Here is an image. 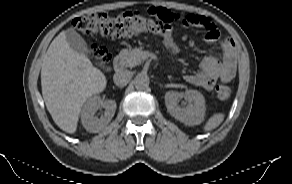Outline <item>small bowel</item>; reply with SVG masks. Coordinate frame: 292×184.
Wrapping results in <instances>:
<instances>
[{
  "label": "small bowel",
  "instance_id": "small-bowel-1",
  "mask_svg": "<svg viewBox=\"0 0 292 184\" xmlns=\"http://www.w3.org/2000/svg\"><path fill=\"white\" fill-rule=\"evenodd\" d=\"M183 22L187 26L203 28L205 30L206 42L215 43L219 40V29L206 16L189 14L184 17ZM161 36L165 47L170 52L177 53L179 51V46L170 29ZM236 70L237 54L234 42L231 39H225L221 42V52L219 55L206 56L200 64V70L187 74L184 79L192 85L211 91L217 80L230 82L235 77Z\"/></svg>",
  "mask_w": 292,
  "mask_h": 184
}]
</instances>
